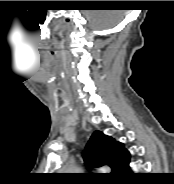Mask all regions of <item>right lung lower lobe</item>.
<instances>
[{
  "instance_id": "98d812e1",
  "label": "right lung lower lobe",
  "mask_w": 174,
  "mask_h": 184,
  "mask_svg": "<svg viewBox=\"0 0 174 184\" xmlns=\"http://www.w3.org/2000/svg\"><path fill=\"white\" fill-rule=\"evenodd\" d=\"M129 161L122 167V169L118 172L119 176H124V175H128L131 174V170L129 168Z\"/></svg>"
}]
</instances>
